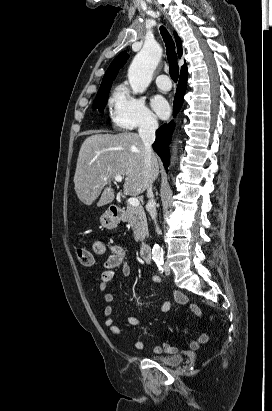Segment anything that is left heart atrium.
I'll use <instances>...</instances> for the list:
<instances>
[{
	"label": "left heart atrium",
	"mask_w": 272,
	"mask_h": 411,
	"mask_svg": "<svg viewBox=\"0 0 272 411\" xmlns=\"http://www.w3.org/2000/svg\"><path fill=\"white\" fill-rule=\"evenodd\" d=\"M152 107L157 115L161 118H165L169 114V105L166 100L160 96H156L152 100Z\"/></svg>",
	"instance_id": "1"
}]
</instances>
